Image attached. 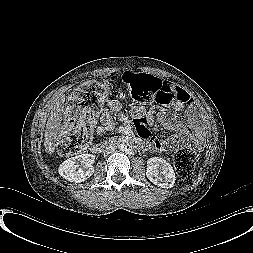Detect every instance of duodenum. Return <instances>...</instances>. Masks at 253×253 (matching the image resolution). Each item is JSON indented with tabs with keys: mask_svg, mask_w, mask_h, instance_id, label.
Listing matches in <instances>:
<instances>
[{
	"mask_svg": "<svg viewBox=\"0 0 253 253\" xmlns=\"http://www.w3.org/2000/svg\"><path fill=\"white\" fill-rule=\"evenodd\" d=\"M121 142H124L127 146H133L135 143L128 140L126 137H120L117 138L115 140H113L112 142H106V143H102V144H95L92 148L93 153H99L100 150H102L104 147H110L112 145L117 146L119 145Z\"/></svg>",
	"mask_w": 253,
	"mask_h": 253,
	"instance_id": "1",
	"label": "duodenum"
}]
</instances>
